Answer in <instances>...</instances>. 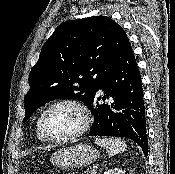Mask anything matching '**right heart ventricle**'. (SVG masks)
<instances>
[{
    "label": "right heart ventricle",
    "instance_id": "obj_1",
    "mask_svg": "<svg viewBox=\"0 0 175 174\" xmlns=\"http://www.w3.org/2000/svg\"><path fill=\"white\" fill-rule=\"evenodd\" d=\"M36 134H37V137L41 140V141H44L45 139L42 137L40 131H39V125H38V122H37V125H36Z\"/></svg>",
    "mask_w": 175,
    "mask_h": 174
}]
</instances>
